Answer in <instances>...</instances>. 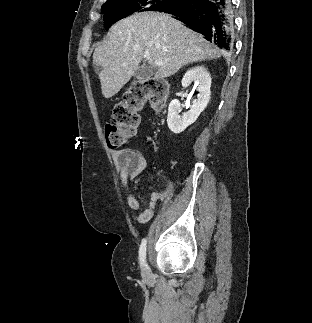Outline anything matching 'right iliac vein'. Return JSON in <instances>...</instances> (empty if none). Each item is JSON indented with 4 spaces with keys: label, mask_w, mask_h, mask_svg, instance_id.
<instances>
[{
    "label": "right iliac vein",
    "mask_w": 312,
    "mask_h": 323,
    "mask_svg": "<svg viewBox=\"0 0 312 323\" xmlns=\"http://www.w3.org/2000/svg\"><path fill=\"white\" fill-rule=\"evenodd\" d=\"M144 277H148V271L146 268H143V271H142Z\"/></svg>",
    "instance_id": "1"
}]
</instances>
